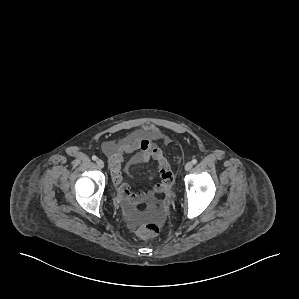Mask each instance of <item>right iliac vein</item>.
Returning a JSON list of instances; mask_svg holds the SVG:
<instances>
[{
  "instance_id": "63e3f726",
  "label": "right iliac vein",
  "mask_w": 299,
  "mask_h": 299,
  "mask_svg": "<svg viewBox=\"0 0 299 299\" xmlns=\"http://www.w3.org/2000/svg\"><path fill=\"white\" fill-rule=\"evenodd\" d=\"M96 164L99 168H103L104 167V162L101 159H97L96 160Z\"/></svg>"
}]
</instances>
